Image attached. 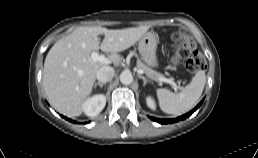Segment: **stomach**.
Masks as SVG:
<instances>
[{"label":"stomach","mask_w":258,"mask_h":158,"mask_svg":"<svg viewBox=\"0 0 258 158\" xmlns=\"http://www.w3.org/2000/svg\"><path fill=\"white\" fill-rule=\"evenodd\" d=\"M158 38L153 32L145 33L138 42V51L141 59L150 67H157L156 56Z\"/></svg>","instance_id":"stomach-1"}]
</instances>
